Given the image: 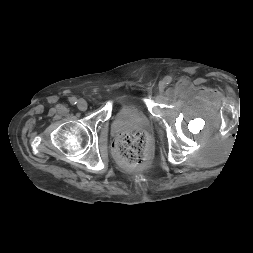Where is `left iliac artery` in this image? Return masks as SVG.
<instances>
[{
  "label": "left iliac artery",
  "instance_id": "44dca946",
  "mask_svg": "<svg viewBox=\"0 0 253 253\" xmlns=\"http://www.w3.org/2000/svg\"><path fill=\"white\" fill-rule=\"evenodd\" d=\"M171 81H172V78H171L170 76H166V77L164 78L165 84H170Z\"/></svg>",
  "mask_w": 253,
  "mask_h": 253
}]
</instances>
